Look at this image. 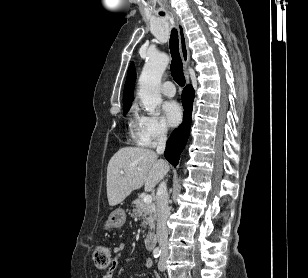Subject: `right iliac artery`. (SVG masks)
Instances as JSON below:
<instances>
[{"mask_svg":"<svg viewBox=\"0 0 308 278\" xmlns=\"http://www.w3.org/2000/svg\"><path fill=\"white\" fill-rule=\"evenodd\" d=\"M153 255L155 258L159 257L161 255V249L159 247L155 248L153 251Z\"/></svg>","mask_w":308,"mask_h":278,"instance_id":"obj_1","label":"right iliac artery"}]
</instances>
